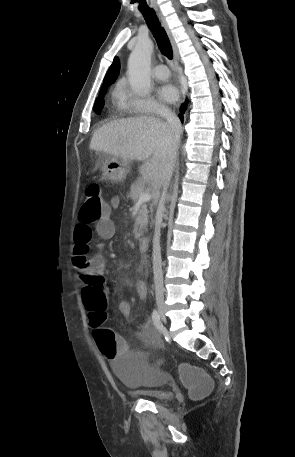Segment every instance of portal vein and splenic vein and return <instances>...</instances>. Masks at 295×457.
Returning a JSON list of instances; mask_svg holds the SVG:
<instances>
[{
    "label": "portal vein and splenic vein",
    "mask_w": 295,
    "mask_h": 457,
    "mask_svg": "<svg viewBox=\"0 0 295 457\" xmlns=\"http://www.w3.org/2000/svg\"><path fill=\"white\" fill-rule=\"evenodd\" d=\"M151 199V194L148 192H144L140 195L138 202H146Z\"/></svg>",
    "instance_id": "obj_1"
}]
</instances>
